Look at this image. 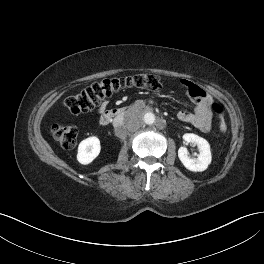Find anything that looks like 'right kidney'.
I'll use <instances>...</instances> for the list:
<instances>
[{"mask_svg": "<svg viewBox=\"0 0 264 264\" xmlns=\"http://www.w3.org/2000/svg\"><path fill=\"white\" fill-rule=\"evenodd\" d=\"M100 150V140L95 136L88 137L78 146L77 160L80 164L87 165L99 155Z\"/></svg>", "mask_w": 264, "mask_h": 264, "instance_id": "right-kidney-1", "label": "right kidney"}]
</instances>
